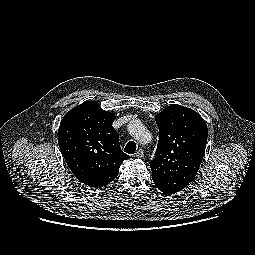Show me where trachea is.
I'll use <instances>...</instances> for the list:
<instances>
[{
  "label": "trachea",
  "mask_w": 255,
  "mask_h": 255,
  "mask_svg": "<svg viewBox=\"0 0 255 255\" xmlns=\"http://www.w3.org/2000/svg\"><path fill=\"white\" fill-rule=\"evenodd\" d=\"M124 151L128 154H134L136 151V143L134 141L128 142Z\"/></svg>",
  "instance_id": "1"
}]
</instances>
